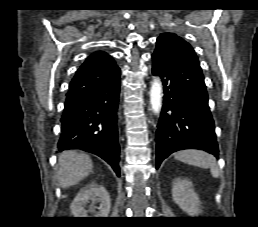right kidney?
I'll return each mask as SVG.
<instances>
[{"instance_id":"obj_1","label":"right kidney","mask_w":258,"mask_h":227,"mask_svg":"<svg viewBox=\"0 0 258 227\" xmlns=\"http://www.w3.org/2000/svg\"><path fill=\"white\" fill-rule=\"evenodd\" d=\"M90 201L93 204L99 203V207L92 205L86 210L84 206ZM110 207L111 199L106 188L92 184L77 194L70 208L74 217H89V213L94 214L93 217H108ZM96 208L98 211H96Z\"/></svg>"}]
</instances>
